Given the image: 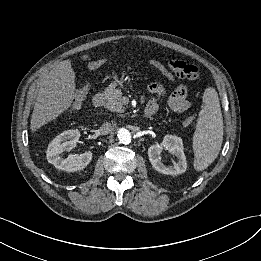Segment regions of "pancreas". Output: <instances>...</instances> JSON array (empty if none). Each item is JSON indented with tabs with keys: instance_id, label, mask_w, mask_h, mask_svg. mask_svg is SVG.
<instances>
[{
	"instance_id": "cf45deb5",
	"label": "pancreas",
	"mask_w": 261,
	"mask_h": 261,
	"mask_svg": "<svg viewBox=\"0 0 261 261\" xmlns=\"http://www.w3.org/2000/svg\"><path fill=\"white\" fill-rule=\"evenodd\" d=\"M105 95V108L112 112L123 113L124 108L121 102L122 91L115 88V86H109L104 91Z\"/></svg>"
}]
</instances>
